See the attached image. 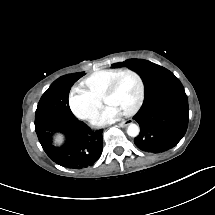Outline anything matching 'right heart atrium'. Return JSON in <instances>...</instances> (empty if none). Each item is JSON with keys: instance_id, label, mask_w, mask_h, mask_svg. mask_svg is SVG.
I'll use <instances>...</instances> for the list:
<instances>
[{"instance_id": "right-heart-atrium-1", "label": "right heart atrium", "mask_w": 215, "mask_h": 215, "mask_svg": "<svg viewBox=\"0 0 215 215\" xmlns=\"http://www.w3.org/2000/svg\"><path fill=\"white\" fill-rule=\"evenodd\" d=\"M69 106L79 119L87 121H92L101 109V104L94 95L85 93L77 87L70 91Z\"/></svg>"}]
</instances>
